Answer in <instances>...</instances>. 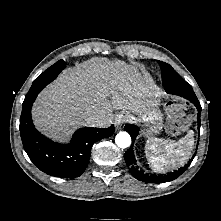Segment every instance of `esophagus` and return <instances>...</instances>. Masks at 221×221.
<instances>
[{
  "instance_id": "obj_1",
  "label": "esophagus",
  "mask_w": 221,
  "mask_h": 221,
  "mask_svg": "<svg viewBox=\"0 0 221 221\" xmlns=\"http://www.w3.org/2000/svg\"><path fill=\"white\" fill-rule=\"evenodd\" d=\"M126 120L127 119L123 114H118L115 117V121H114L115 128L119 130L122 127V125L126 122Z\"/></svg>"
}]
</instances>
